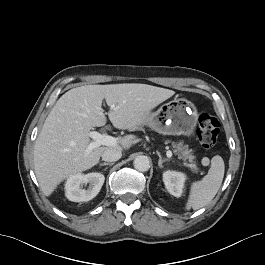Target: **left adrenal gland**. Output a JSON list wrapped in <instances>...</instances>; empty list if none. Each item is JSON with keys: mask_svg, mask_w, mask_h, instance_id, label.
Wrapping results in <instances>:
<instances>
[{"mask_svg": "<svg viewBox=\"0 0 265 265\" xmlns=\"http://www.w3.org/2000/svg\"><path fill=\"white\" fill-rule=\"evenodd\" d=\"M157 154L159 157L158 166H159V168H162L163 167L162 164L166 161H169V159L168 158H162V156L159 152H157Z\"/></svg>", "mask_w": 265, "mask_h": 265, "instance_id": "a2214340", "label": "left adrenal gland"}]
</instances>
